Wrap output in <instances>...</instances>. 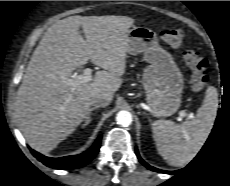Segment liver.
I'll return each instance as SVG.
<instances>
[{"label": "liver", "mask_w": 230, "mask_h": 186, "mask_svg": "<svg viewBox=\"0 0 230 186\" xmlns=\"http://www.w3.org/2000/svg\"><path fill=\"white\" fill-rule=\"evenodd\" d=\"M126 16H70L58 20L33 52L15 101L17 121L27 143L48 153L72 134L90 111L93 95L112 100L126 70ZM82 27L85 39L80 35ZM89 60L101 67L91 82L66 83Z\"/></svg>", "instance_id": "obj_1"}]
</instances>
